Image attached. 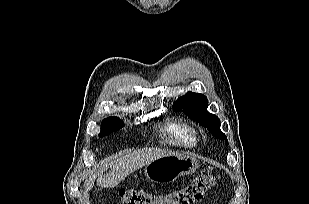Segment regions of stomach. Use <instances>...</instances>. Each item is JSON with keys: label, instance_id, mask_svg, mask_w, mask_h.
<instances>
[{"label": "stomach", "instance_id": "obj_1", "mask_svg": "<svg viewBox=\"0 0 309 204\" xmlns=\"http://www.w3.org/2000/svg\"><path fill=\"white\" fill-rule=\"evenodd\" d=\"M197 168L198 161L195 158L174 154L150 162L145 166L144 174L149 181L168 182L192 174Z\"/></svg>", "mask_w": 309, "mask_h": 204}]
</instances>
